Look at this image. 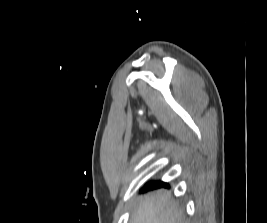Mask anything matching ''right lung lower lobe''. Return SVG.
I'll use <instances>...</instances> for the list:
<instances>
[{
  "mask_svg": "<svg viewBox=\"0 0 267 223\" xmlns=\"http://www.w3.org/2000/svg\"><path fill=\"white\" fill-rule=\"evenodd\" d=\"M159 186H167V184H165L163 182H151L143 188V191L148 190V189H153V188H156Z\"/></svg>",
  "mask_w": 267,
  "mask_h": 223,
  "instance_id": "1",
  "label": "right lung lower lobe"
}]
</instances>
